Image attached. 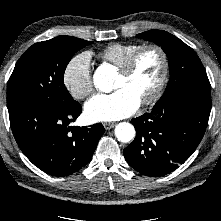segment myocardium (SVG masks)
I'll list each match as a JSON object with an SVG mask.
<instances>
[{
  "label": "myocardium",
  "mask_w": 221,
  "mask_h": 221,
  "mask_svg": "<svg viewBox=\"0 0 221 221\" xmlns=\"http://www.w3.org/2000/svg\"><path fill=\"white\" fill-rule=\"evenodd\" d=\"M147 50H154L159 54L161 58L162 67H161V74H160L159 80L154 90L150 93L149 96H147L145 99H143L140 102V104L144 106L150 105L154 103L155 101H157L165 88L167 78H168V73H169V59H168L167 53L161 46L157 44L142 45L137 50H135L119 67V72L121 74L129 75L133 71L138 58Z\"/></svg>",
  "instance_id": "1"
}]
</instances>
